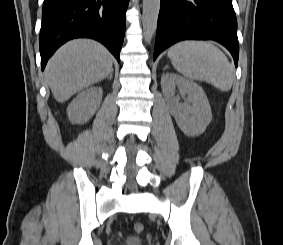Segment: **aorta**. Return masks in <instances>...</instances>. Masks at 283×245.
<instances>
[{
  "label": "aorta",
  "mask_w": 283,
  "mask_h": 245,
  "mask_svg": "<svg viewBox=\"0 0 283 245\" xmlns=\"http://www.w3.org/2000/svg\"><path fill=\"white\" fill-rule=\"evenodd\" d=\"M160 0H143L142 26L145 41L150 42L157 28Z\"/></svg>",
  "instance_id": "aorta-1"
}]
</instances>
